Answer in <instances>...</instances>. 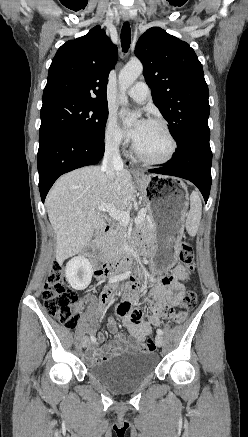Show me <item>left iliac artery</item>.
<instances>
[{"instance_id":"44dca946","label":"left iliac artery","mask_w":248,"mask_h":437,"mask_svg":"<svg viewBox=\"0 0 248 437\" xmlns=\"http://www.w3.org/2000/svg\"><path fill=\"white\" fill-rule=\"evenodd\" d=\"M157 334L158 335H163V331L161 329H157Z\"/></svg>"}]
</instances>
